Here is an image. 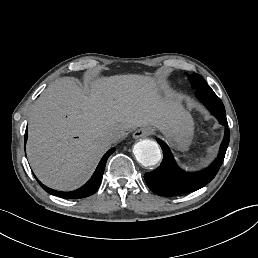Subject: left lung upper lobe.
Here are the masks:
<instances>
[{"label":"left lung upper lobe","instance_id":"1","mask_svg":"<svg viewBox=\"0 0 258 258\" xmlns=\"http://www.w3.org/2000/svg\"><path fill=\"white\" fill-rule=\"evenodd\" d=\"M188 77H189V80H190L192 86L197 83H202V84L206 83L204 78L197 73H193L192 76L188 75Z\"/></svg>","mask_w":258,"mask_h":258}]
</instances>
